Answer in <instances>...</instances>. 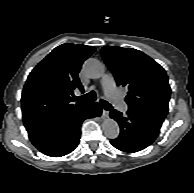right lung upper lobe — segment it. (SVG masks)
<instances>
[{
    "label": "right lung upper lobe",
    "mask_w": 194,
    "mask_h": 193,
    "mask_svg": "<svg viewBox=\"0 0 194 193\" xmlns=\"http://www.w3.org/2000/svg\"><path fill=\"white\" fill-rule=\"evenodd\" d=\"M94 51L92 46L62 44L32 70L21 98L24 125L59 116L84 105L74 102L73 90L84 91L78 73L82 63Z\"/></svg>",
    "instance_id": "cb5924a9"
}]
</instances>
